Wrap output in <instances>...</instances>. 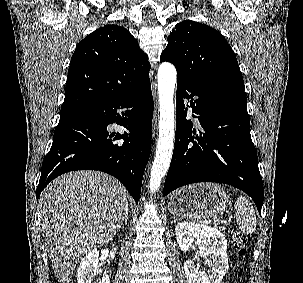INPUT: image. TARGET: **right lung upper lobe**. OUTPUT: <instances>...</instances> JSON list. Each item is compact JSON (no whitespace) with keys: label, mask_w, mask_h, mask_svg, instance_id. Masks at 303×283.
<instances>
[{"label":"right lung upper lobe","mask_w":303,"mask_h":283,"mask_svg":"<svg viewBox=\"0 0 303 283\" xmlns=\"http://www.w3.org/2000/svg\"><path fill=\"white\" fill-rule=\"evenodd\" d=\"M150 63L131 33L105 25L84 38L71 58L60 116L129 94L149 79Z\"/></svg>","instance_id":"1"}]
</instances>
